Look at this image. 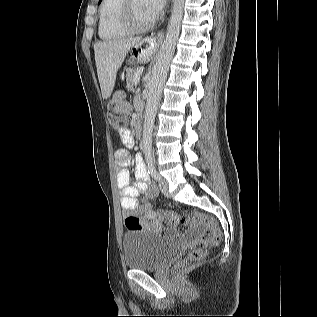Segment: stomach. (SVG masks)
<instances>
[{
	"mask_svg": "<svg viewBox=\"0 0 317 317\" xmlns=\"http://www.w3.org/2000/svg\"><path fill=\"white\" fill-rule=\"evenodd\" d=\"M128 66H137L138 57L137 55H128L127 57ZM131 72L130 68H119L118 72H115L114 77L116 79L114 86L118 89V91H125L127 88L128 80L126 79Z\"/></svg>",
	"mask_w": 317,
	"mask_h": 317,
	"instance_id": "1",
	"label": "stomach"
}]
</instances>
